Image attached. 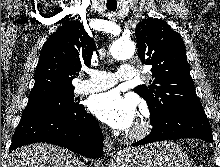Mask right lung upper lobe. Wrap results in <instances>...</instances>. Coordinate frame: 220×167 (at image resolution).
Wrapping results in <instances>:
<instances>
[{
    "mask_svg": "<svg viewBox=\"0 0 220 167\" xmlns=\"http://www.w3.org/2000/svg\"><path fill=\"white\" fill-rule=\"evenodd\" d=\"M94 46L80 22L62 25L42 47L29 99L74 89L72 80L82 66H90Z\"/></svg>",
    "mask_w": 220,
    "mask_h": 167,
    "instance_id": "cb5924a9",
    "label": "right lung upper lobe"
}]
</instances>
